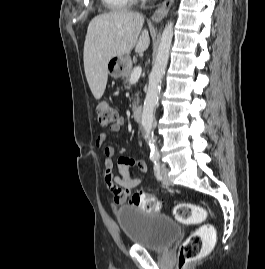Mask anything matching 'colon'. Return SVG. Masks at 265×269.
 <instances>
[{"instance_id": "1", "label": "colon", "mask_w": 265, "mask_h": 269, "mask_svg": "<svg viewBox=\"0 0 265 269\" xmlns=\"http://www.w3.org/2000/svg\"><path fill=\"white\" fill-rule=\"evenodd\" d=\"M98 123L101 127H110L117 123L118 115L114 107L107 101H100L96 107ZM133 205L148 212H156L160 208L159 200L142 191L132 194ZM174 216L177 221L184 224L199 223L206 219L204 208L189 202H182L175 206ZM215 231L213 226L204 225L195 230L182 244L179 252V267L184 268L192 261L198 259L204 252L207 244L213 241Z\"/></svg>"}]
</instances>
